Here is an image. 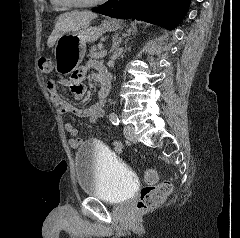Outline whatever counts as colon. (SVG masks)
I'll list each match as a JSON object with an SVG mask.
<instances>
[{
  "mask_svg": "<svg viewBox=\"0 0 240 238\" xmlns=\"http://www.w3.org/2000/svg\"><path fill=\"white\" fill-rule=\"evenodd\" d=\"M39 70L42 74L48 75L53 70V62L50 58H41L38 62ZM145 179L150 185L142 188L137 203L139 210L146 211L158 207L172 191V184L169 181L155 183L157 173L153 169H148Z\"/></svg>",
  "mask_w": 240,
  "mask_h": 238,
  "instance_id": "obj_1",
  "label": "colon"
}]
</instances>
